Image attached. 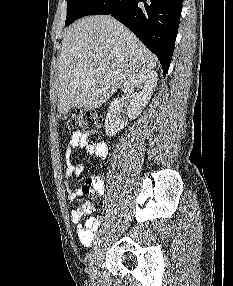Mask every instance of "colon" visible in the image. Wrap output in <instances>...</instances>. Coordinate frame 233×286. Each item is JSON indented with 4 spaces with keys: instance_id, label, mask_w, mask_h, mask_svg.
Segmentation results:
<instances>
[{
    "instance_id": "5ec220e1",
    "label": "colon",
    "mask_w": 233,
    "mask_h": 286,
    "mask_svg": "<svg viewBox=\"0 0 233 286\" xmlns=\"http://www.w3.org/2000/svg\"><path fill=\"white\" fill-rule=\"evenodd\" d=\"M67 129L75 127L81 128L89 140L95 142L99 138L100 130L102 127L101 117L94 111L75 109L63 115ZM103 183L97 178H88L84 185L83 190L87 193H96L101 190Z\"/></svg>"
}]
</instances>
